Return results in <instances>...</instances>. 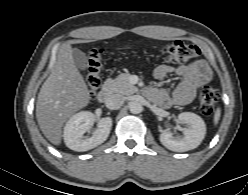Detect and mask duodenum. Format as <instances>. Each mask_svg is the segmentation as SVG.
Masks as SVG:
<instances>
[{
  "label": "duodenum",
  "instance_id": "obj_1",
  "mask_svg": "<svg viewBox=\"0 0 248 195\" xmlns=\"http://www.w3.org/2000/svg\"><path fill=\"white\" fill-rule=\"evenodd\" d=\"M112 98V89L109 85L103 86L98 94H97V99L101 103H108Z\"/></svg>",
  "mask_w": 248,
  "mask_h": 195
}]
</instances>
